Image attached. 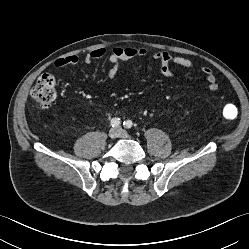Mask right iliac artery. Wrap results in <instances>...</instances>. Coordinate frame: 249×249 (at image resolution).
<instances>
[{
  "label": "right iliac artery",
  "mask_w": 249,
  "mask_h": 249,
  "mask_svg": "<svg viewBox=\"0 0 249 249\" xmlns=\"http://www.w3.org/2000/svg\"><path fill=\"white\" fill-rule=\"evenodd\" d=\"M110 124H111L112 127H118L121 124V121H120L119 118H113L110 121Z\"/></svg>",
  "instance_id": "obj_1"
}]
</instances>
